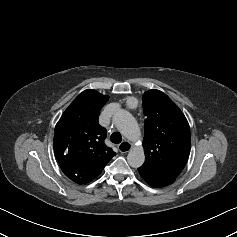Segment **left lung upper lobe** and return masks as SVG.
I'll return each instance as SVG.
<instances>
[{"instance_id": "obj_1", "label": "left lung upper lobe", "mask_w": 237, "mask_h": 237, "mask_svg": "<svg viewBox=\"0 0 237 237\" xmlns=\"http://www.w3.org/2000/svg\"><path fill=\"white\" fill-rule=\"evenodd\" d=\"M143 112L146 158L142 167L176 178L190 154L188 121L166 94L155 89L144 93Z\"/></svg>"}]
</instances>
